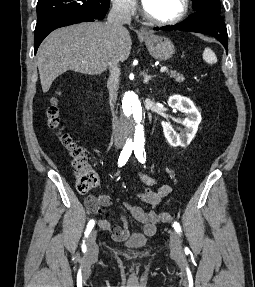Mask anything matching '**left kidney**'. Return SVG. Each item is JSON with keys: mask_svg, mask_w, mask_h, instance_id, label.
Returning a JSON list of instances; mask_svg holds the SVG:
<instances>
[{"mask_svg": "<svg viewBox=\"0 0 255 287\" xmlns=\"http://www.w3.org/2000/svg\"><path fill=\"white\" fill-rule=\"evenodd\" d=\"M168 106L185 114L186 118L180 122L185 128L183 134H175L169 122H162L164 136L170 145H174V147H177V145L185 147V145L191 142L198 130V126L201 122V114L196 110L193 102H191L189 98H185V96H170Z\"/></svg>", "mask_w": 255, "mask_h": 287, "instance_id": "left-kidney-1", "label": "left kidney"}]
</instances>
